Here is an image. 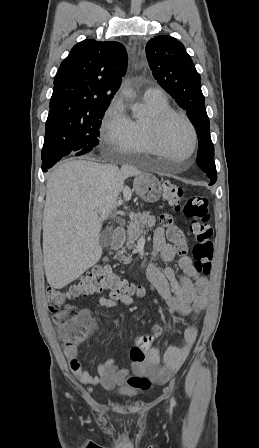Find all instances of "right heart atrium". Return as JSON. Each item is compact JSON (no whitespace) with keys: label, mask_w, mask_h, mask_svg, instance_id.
<instances>
[{"label":"right heart atrium","mask_w":259,"mask_h":448,"mask_svg":"<svg viewBox=\"0 0 259 448\" xmlns=\"http://www.w3.org/2000/svg\"><path fill=\"white\" fill-rule=\"evenodd\" d=\"M122 113L121 99L116 96L109 105L98 132L100 147L120 156L129 152V132Z\"/></svg>","instance_id":"d8ad5b80"}]
</instances>
